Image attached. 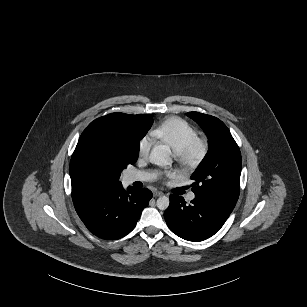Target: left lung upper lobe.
Segmentation results:
<instances>
[{
	"label": "left lung upper lobe",
	"instance_id": "obj_1",
	"mask_svg": "<svg viewBox=\"0 0 307 307\" xmlns=\"http://www.w3.org/2000/svg\"><path fill=\"white\" fill-rule=\"evenodd\" d=\"M204 130L209 149L192 174L195 197L232 212L239 197L241 153L226 125L216 117L188 112Z\"/></svg>",
	"mask_w": 307,
	"mask_h": 307
}]
</instances>
